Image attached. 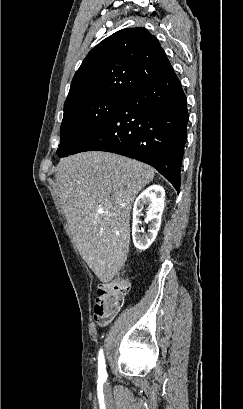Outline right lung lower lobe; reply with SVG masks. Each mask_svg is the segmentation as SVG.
<instances>
[{"label":"right lung lower lobe","mask_w":243,"mask_h":409,"mask_svg":"<svg viewBox=\"0 0 243 409\" xmlns=\"http://www.w3.org/2000/svg\"><path fill=\"white\" fill-rule=\"evenodd\" d=\"M188 118L187 99L173 71L128 95L109 122L69 155L99 150L145 162L179 192Z\"/></svg>","instance_id":"obj_1"}]
</instances>
